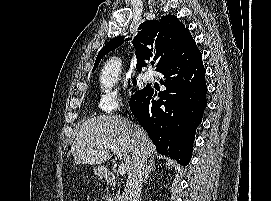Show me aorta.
<instances>
[{"label":"aorta","instance_id":"1","mask_svg":"<svg viewBox=\"0 0 271 201\" xmlns=\"http://www.w3.org/2000/svg\"><path fill=\"white\" fill-rule=\"evenodd\" d=\"M120 67H121L120 59L113 58L109 60L106 63L103 70L104 77L106 78V80L112 83L117 78L120 71Z\"/></svg>","mask_w":271,"mask_h":201}]
</instances>
